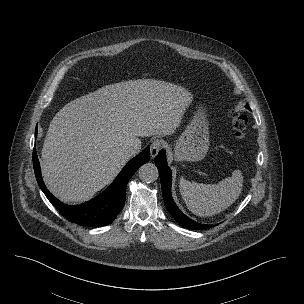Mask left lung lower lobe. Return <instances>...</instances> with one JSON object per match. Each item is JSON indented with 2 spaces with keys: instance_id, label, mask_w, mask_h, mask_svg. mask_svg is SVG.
Instances as JSON below:
<instances>
[{
  "instance_id": "0a47b994",
  "label": "left lung lower lobe",
  "mask_w": 304,
  "mask_h": 304,
  "mask_svg": "<svg viewBox=\"0 0 304 304\" xmlns=\"http://www.w3.org/2000/svg\"><path fill=\"white\" fill-rule=\"evenodd\" d=\"M155 164L159 170L165 206L169 213L175 218L176 222L187 229L203 230L212 227L213 225L200 224L191 220L185 216L175 204L171 195L172 174L170 168L167 166L164 150H161L155 157Z\"/></svg>"
}]
</instances>
